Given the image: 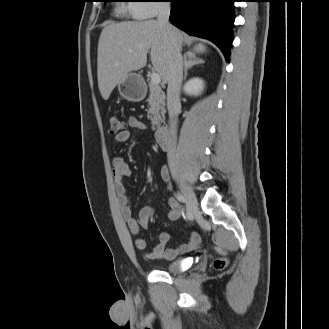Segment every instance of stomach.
I'll return each mask as SVG.
<instances>
[{"instance_id":"stomach-1","label":"stomach","mask_w":329,"mask_h":329,"mask_svg":"<svg viewBox=\"0 0 329 329\" xmlns=\"http://www.w3.org/2000/svg\"><path fill=\"white\" fill-rule=\"evenodd\" d=\"M119 93L131 102H140L146 96V85L143 78L136 73H130L125 81L118 84Z\"/></svg>"}]
</instances>
